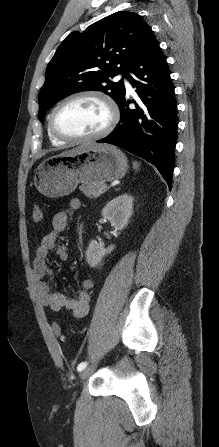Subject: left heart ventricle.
Listing matches in <instances>:
<instances>
[{
	"mask_svg": "<svg viewBox=\"0 0 219 447\" xmlns=\"http://www.w3.org/2000/svg\"><path fill=\"white\" fill-rule=\"evenodd\" d=\"M107 121L106 107L92 98H81L68 102L55 115L57 130L71 137L97 133L105 127Z\"/></svg>",
	"mask_w": 219,
	"mask_h": 447,
	"instance_id": "1",
	"label": "left heart ventricle"
}]
</instances>
